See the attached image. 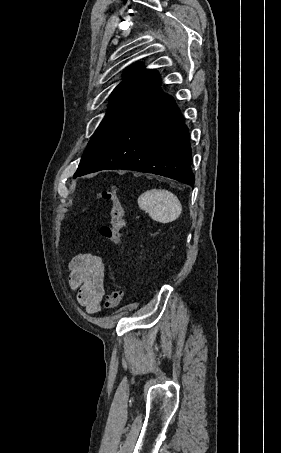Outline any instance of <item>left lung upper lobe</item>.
Here are the masks:
<instances>
[{
    "mask_svg": "<svg viewBox=\"0 0 281 453\" xmlns=\"http://www.w3.org/2000/svg\"><path fill=\"white\" fill-rule=\"evenodd\" d=\"M126 74L132 75L112 92L107 114L88 143L77 170L84 168L97 155L159 76L158 72L141 69L140 65L131 68Z\"/></svg>",
    "mask_w": 281,
    "mask_h": 453,
    "instance_id": "left-lung-upper-lobe-1",
    "label": "left lung upper lobe"
}]
</instances>
